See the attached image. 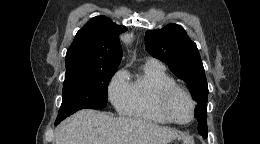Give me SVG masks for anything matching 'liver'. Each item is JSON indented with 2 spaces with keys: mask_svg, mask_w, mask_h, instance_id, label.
<instances>
[{
  "mask_svg": "<svg viewBox=\"0 0 260 144\" xmlns=\"http://www.w3.org/2000/svg\"><path fill=\"white\" fill-rule=\"evenodd\" d=\"M180 138L173 129L129 117L84 109L55 131L56 144H163Z\"/></svg>",
  "mask_w": 260,
  "mask_h": 144,
  "instance_id": "liver-1",
  "label": "liver"
}]
</instances>
